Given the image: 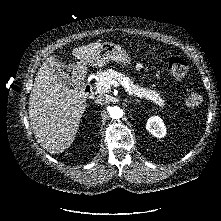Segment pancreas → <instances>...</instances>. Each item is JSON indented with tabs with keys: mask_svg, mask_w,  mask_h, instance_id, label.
Wrapping results in <instances>:
<instances>
[{
	"mask_svg": "<svg viewBox=\"0 0 221 221\" xmlns=\"http://www.w3.org/2000/svg\"><path fill=\"white\" fill-rule=\"evenodd\" d=\"M97 77L98 82L96 87L98 88L101 85V87L99 88L100 93L108 92L109 90L105 89L104 83H107L112 79H115L125 87L126 92L129 95H135L141 99L145 98L147 101H150L158 105L159 107L164 106V100L161 98L159 92L148 88L140 87L139 85H135L133 81L125 74H122L112 69H107L99 72L97 74Z\"/></svg>",
	"mask_w": 221,
	"mask_h": 221,
	"instance_id": "obj_1",
	"label": "pancreas"
}]
</instances>
